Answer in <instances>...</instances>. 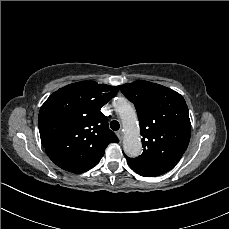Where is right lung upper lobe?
I'll list each match as a JSON object with an SVG mask.
<instances>
[{
    "instance_id": "right-lung-upper-lobe-1",
    "label": "right lung upper lobe",
    "mask_w": 229,
    "mask_h": 229,
    "mask_svg": "<svg viewBox=\"0 0 229 229\" xmlns=\"http://www.w3.org/2000/svg\"><path fill=\"white\" fill-rule=\"evenodd\" d=\"M117 92L116 86L82 81L49 96L40 109L38 126L54 164L68 172H85L99 163L109 143L119 142L100 111Z\"/></svg>"
}]
</instances>
